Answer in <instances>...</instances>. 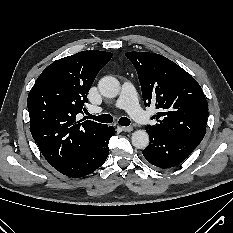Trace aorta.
<instances>
[{"instance_id": "aorta-1", "label": "aorta", "mask_w": 233, "mask_h": 233, "mask_svg": "<svg viewBox=\"0 0 233 233\" xmlns=\"http://www.w3.org/2000/svg\"><path fill=\"white\" fill-rule=\"evenodd\" d=\"M120 83L112 76H105L100 79L98 89L100 93L107 98H114L120 93ZM132 144L135 148L145 149L149 144V136L144 130H136L131 137Z\"/></svg>"}]
</instances>
